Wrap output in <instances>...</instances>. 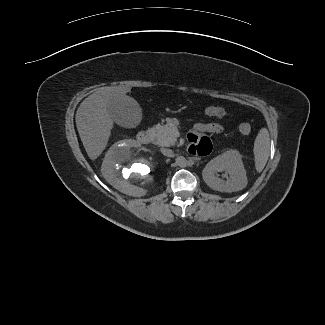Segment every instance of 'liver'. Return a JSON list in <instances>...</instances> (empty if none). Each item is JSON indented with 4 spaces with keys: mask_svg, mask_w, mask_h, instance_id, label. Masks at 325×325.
<instances>
[{
    "mask_svg": "<svg viewBox=\"0 0 325 325\" xmlns=\"http://www.w3.org/2000/svg\"><path fill=\"white\" fill-rule=\"evenodd\" d=\"M130 87L98 88L83 100L76 112V126L83 146L91 160L97 159L106 148L114 127L108 105L117 98L127 97ZM133 99V98H131Z\"/></svg>",
    "mask_w": 325,
    "mask_h": 325,
    "instance_id": "liver-1",
    "label": "liver"
}]
</instances>
